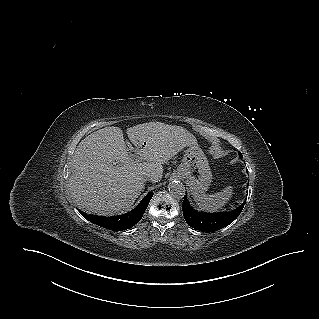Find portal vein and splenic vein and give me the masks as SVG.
Wrapping results in <instances>:
<instances>
[{
	"label": "portal vein and splenic vein",
	"instance_id": "obj_1",
	"mask_svg": "<svg viewBox=\"0 0 319 319\" xmlns=\"http://www.w3.org/2000/svg\"><path fill=\"white\" fill-rule=\"evenodd\" d=\"M140 159H141V158H137V159H135V162H140Z\"/></svg>",
	"mask_w": 319,
	"mask_h": 319
}]
</instances>
